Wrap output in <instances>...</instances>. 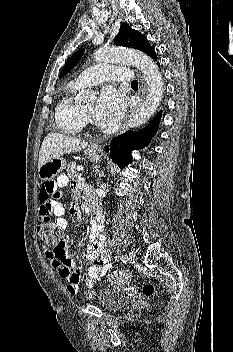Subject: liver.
<instances>
[{
  "label": "liver",
  "mask_w": 233,
  "mask_h": 352,
  "mask_svg": "<svg viewBox=\"0 0 233 352\" xmlns=\"http://www.w3.org/2000/svg\"><path fill=\"white\" fill-rule=\"evenodd\" d=\"M88 146V143L60 133H49L43 140L38 169L47 161L61 157L64 154L80 151Z\"/></svg>",
  "instance_id": "6515ba94"
}]
</instances>
